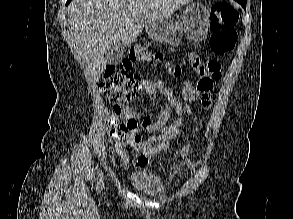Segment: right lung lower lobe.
<instances>
[{
	"instance_id": "98d812e1",
	"label": "right lung lower lobe",
	"mask_w": 293,
	"mask_h": 219,
	"mask_svg": "<svg viewBox=\"0 0 293 219\" xmlns=\"http://www.w3.org/2000/svg\"><path fill=\"white\" fill-rule=\"evenodd\" d=\"M71 0H67V4L70 2Z\"/></svg>"
}]
</instances>
